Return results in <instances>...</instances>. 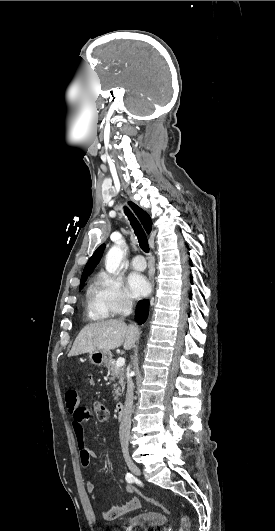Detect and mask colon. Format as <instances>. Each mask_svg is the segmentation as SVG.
<instances>
[{"instance_id":"1","label":"colon","mask_w":275,"mask_h":531,"mask_svg":"<svg viewBox=\"0 0 275 531\" xmlns=\"http://www.w3.org/2000/svg\"><path fill=\"white\" fill-rule=\"evenodd\" d=\"M95 413L97 418L100 421H105L108 418V410L106 406L103 403L97 402L95 404ZM126 486H131L130 484H125ZM134 490H136V495L140 496L142 494V491L140 489H137L136 487H133ZM142 498L147 501L149 504L153 506H161L160 502L150 496L143 495ZM164 508V507H163ZM165 509V508H164ZM180 531H192V524L188 517H183L180 524Z\"/></svg>"}]
</instances>
